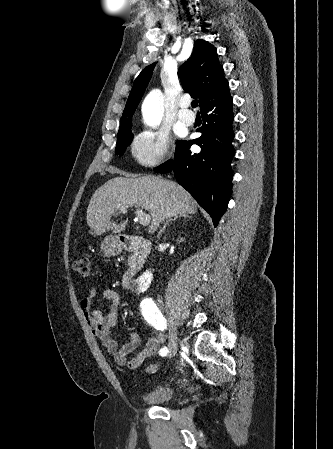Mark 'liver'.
Listing matches in <instances>:
<instances>
[{
	"mask_svg": "<svg viewBox=\"0 0 333 449\" xmlns=\"http://www.w3.org/2000/svg\"><path fill=\"white\" fill-rule=\"evenodd\" d=\"M133 206L149 211V233H153L165 219L197 212L192 196L173 181L154 176L116 177L99 187L91 197L87 224L92 235L98 236L109 230L115 233L123 231L127 220L117 225L110 221L111 216L122 207Z\"/></svg>",
	"mask_w": 333,
	"mask_h": 449,
	"instance_id": "liver-1",
	"label": "liver"
}]
</instances>
